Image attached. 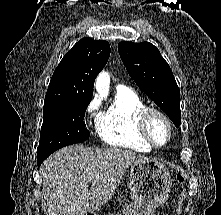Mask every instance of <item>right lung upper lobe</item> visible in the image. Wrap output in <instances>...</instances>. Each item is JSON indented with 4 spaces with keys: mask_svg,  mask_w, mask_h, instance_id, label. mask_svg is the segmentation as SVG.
I'll return each instance as SVG.
<instances>
[{
    "mask_svg": "<svg viewBox=\"0 0 221 215\" xmlns=\"http://www.w3.org/2000/svg\"><path fill=\"white\" fill-rule=\"evenodd\" d=\"M110 56L107 41L83 38L63 57L51 78L44 104L91 101L96 76Z\"/></svg>",
    "mask_w": 221,
    "mask_h": 215,
    "instance_id": "1",
    "label": "right lung upper lobe"
}]
</instances>
